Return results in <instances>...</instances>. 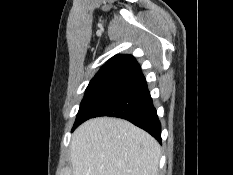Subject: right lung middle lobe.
<instances>
[{"label": "right lung middle lobe", "instance_id": "right-lung-middle-lobe-1", "mask_svg": "<svg viewBox=\"0 0 233 175\" xmlns=\"http://www.w3.org/2000/svg\"><path fill=\"white\" fill-rule=\"evenodd\" d=\"M135 80L126 77L93 78L85 92L73 129L92 117Z\"/></svg>", "mask_w": 233, "mask_h": 175}]
</instances>
